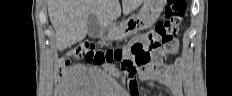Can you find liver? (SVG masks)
<instances>
[{
    "mask_svg": "<svg viewBox=\"0 0 232 96\" xmlns=\"http://www.w3.org/2000/svg\"><path fill=\"white\" fill-rule=\"evenodd\" d=\"M143 0H122L124 14H129ZM96 14L101 27L108 28L121 15L119 0H49L48 14L55 29L56 47L63 51L82 41L88 32V17Z\"/></svg>",
    "mask_w": 232,
    "mask_h": 96,
    "instance_id": "6515ba94",
    "label": "liver"
}]
</instances>
